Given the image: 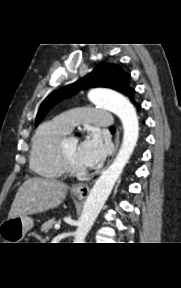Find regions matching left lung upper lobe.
Wrapping results in <instances>:
<instances>
[{
	"mask_svg": "<svg viewBox=\"0 0 181 288\" xmlns=\"http://www.w3.org/2000/svg\"><path fill=\"white\" fill-rule=\"evenodd\" d=\"M130 75L125 73L119 65L101 63L90 74L76 83L64 87L50 94L41 104L36 126L42 121L46 113L61 99L71 96L78 90L88 87H107L126 94L131 98L134 90L129 87Z\"/></svg>",
	"mask_w": 181,
	"mask_h": 288,
	"instance_id": "5c2ea615",
	"label": "left lung upper lobe"
}]
</instances>
